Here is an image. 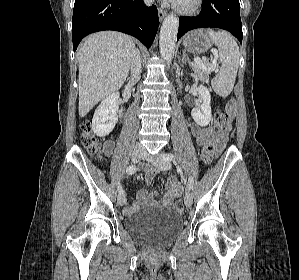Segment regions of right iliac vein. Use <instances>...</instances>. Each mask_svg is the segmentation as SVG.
Returning <instances> with one entry per match:
<instances>
[{
	"instance_id": "1",
	"label": "right iliac vein",
	"mask_w": 299,
	"mask_h": 280,
	"mask_svg": "<svg viewBox=\"0 0 299 280\" xmlns=\"http://www.w3.org/2000/svg\"><path fill=\"white\" fill-rule=\"evenodd\" d=\"M144 155H145L144 149L141 147H136L132 153V161L134 163H137L144 157ZM117 201H118L119 205H121V206L125 205V203H126L125 194L119 193V195L117 197Z\"/></svg>"
}]
</instances>
